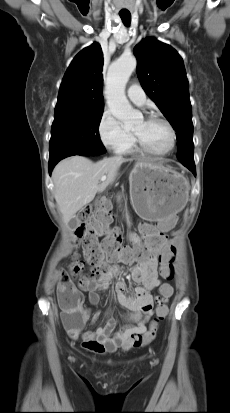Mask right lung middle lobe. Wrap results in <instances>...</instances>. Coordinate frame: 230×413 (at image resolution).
Here are the masks:
<instances>
[{
	"mask_svg": "<svg viewBox=\"0 0 230 413\" xmlns=\"http://www.w3.org/2000/svg\"><path fill=\"white\" fill-rule=\"evenodd\" d=\"M102 114L103 111L55 115L49 143V161L82 151L105 152L98 131Z\"/></svg>",
	"mask_w": 230,
	"mask_h": 413,
	"instance_id": "1",
	"label": "right lung middle lobe"
}]
</instances>
